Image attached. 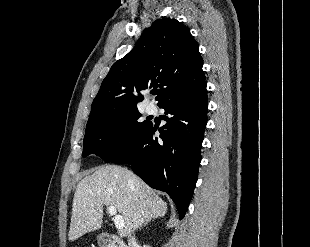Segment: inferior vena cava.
<instances>
[{
	"instance_id": "1",
	"label": "inferior vena cava",
	"mask_w": 310,
	"mask_h": 247,
	"mask_svg": "<svg viewBox=\"0 0 310 247\" xmlns=\"http://www.w3.org/2000/svg\"><path fill=\"white\" fill-rule=\"evenodd\" d=\"M135 238H132L131 241L134 242Z\"/></svg>"
}]
</instances>
